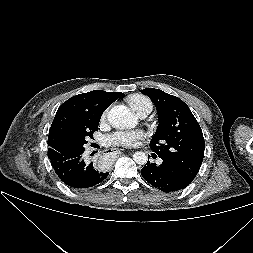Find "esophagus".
Segmentation results:
<instances>
[{"label": "esophagus", "mask_w": 253, "mask_h": 253, "mask_svg": "<svg viewBox=\"0 0 253 253\" xmlns=\"http://www.w3.org/2000/svg\"><path fill=\"white\" fill-rule=\"evenodd\" d=\"M107 151H109V153L115 154V155H118V154L121 153V151L119 149H117V148H111V149H109Z\"/></svg>", "instance_id": "obj_1"}]
</instances>
